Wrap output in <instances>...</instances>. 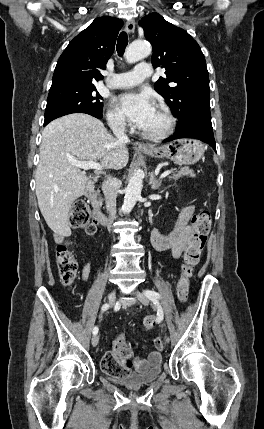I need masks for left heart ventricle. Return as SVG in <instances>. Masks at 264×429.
Returning <instances> with one entry per match:
<instances>
[{
  "instance_id": "1",
  "label": "left heart ventricle",
  "mask_w": 264,
  "mask_h": 429,
  "mask_svg": "<svg viewBox=\"0 0 264 429\" xmlns=\"http://www.w3.org/2000/svg\"><path fill=\"white\" fill-rule=\"evenodd\" d=\"M166 125V119L160 111L154 109L152 115L141 128L142 131L147 133H158L164 129Z\"/></svg>"
}]
</instances>
